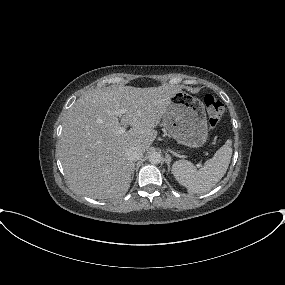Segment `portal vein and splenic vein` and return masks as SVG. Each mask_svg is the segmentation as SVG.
<instances>
[{"mask_svg":"<svg viewBox=\"0 0 285 285\" xmlns=\"http://www.w3.org/2000/svg\"><path fill=\"white\" fill-rule=\"evenodd\" d=\"M125 112H126L125 109H119V110L115 111V114L117 116H122ZM125 131H126L125 126H122L118 129L119 133H124Z\"/></svg>","mask_w":285,"mask_h":285,"instance_id":"obj_1","label":"portal vein and splenic vein"}]
</instances>
